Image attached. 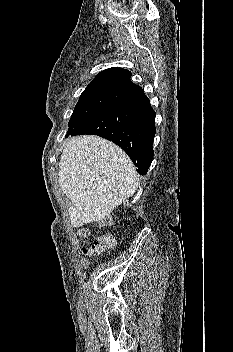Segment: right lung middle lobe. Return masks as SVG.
<instances>
[{
    "mask_svg": "<svg viewBox=\"0 0 233 352\" xmlns=\"http://www.w3.org/2000/svg\"><path fill=\"white\" fill-rule=\"evenodd\" d=\"M137 93L135 89L120 86L87 87L71 115L68 132L77 130L106 109Z\"/></svg>",
    "mask_w": 233,
    "mask_h": 352,
    "instance_id": "right-lung-middle-lobe-1",
    "label": "right lung middle lobe"
}]
</instances>
